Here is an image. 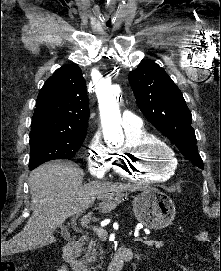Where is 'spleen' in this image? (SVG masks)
<instances>
[{"mask_svg":"<svg viewBox=\"0 0 221 271\" xmlns=\"http://www.w3.org/2000/svg\"><path fill=\"white\" fill-rule=\"evenodd\" d=\"M205 235H206V233H200L199 239H204Z\"/></svg>","mask_w":221,"mask_h":271,"instance_id":"obj_1","label":"spleen"}]
</instances>
